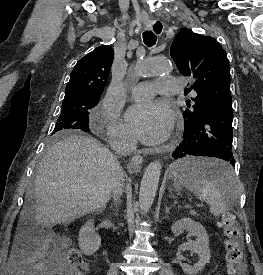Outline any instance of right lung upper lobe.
<instances>
[{
	"label": "right lung upper lobe",
	"mask_w": 263,
	"mask_h": 275,
	"mask_svg": "<svg viewBox=\"0 0 263 275\" xmlns=\"http://www.w3.org/2000/svg\"><path fill=\"white\" fill-rule=\"evenodd\" d=\"M113 58V49L108 45L99 46L81 58L71 72L64 99L79 95L100 96Z\"/></svg>",
	"instance_id": "right-lung-upper-lobe-1"
}]
</instances>
